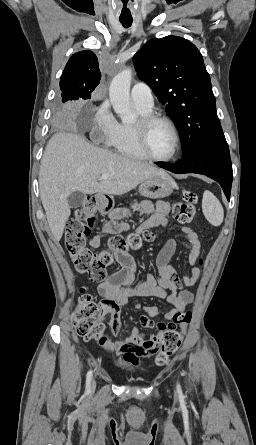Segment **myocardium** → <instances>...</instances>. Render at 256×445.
<instances>
[{
	"label": "myocardium",
	"mask_w": 256,
	"mask_h": 445,
	"mask_svg": "<svg viewBox=\"0 0 256 445\" xmlns=\"http://www.w3.org/2000/svg\"><path fill=\"white\" fill-rule=\"evenodd\" d=\"M156 122H163L167 124L173 132L174 135V149L173 152L168 157H157L155 156L148 145V130L150 126ZM133 132L137 141V144L141 152L146 156V158L155 162H170L175 159L180 151L181 147V137L175 123L168 117L158 114H148L140 116L138 121L133 125Z\"/></svg>",
	"instance_id": "obj_1"
}]
</instances>
